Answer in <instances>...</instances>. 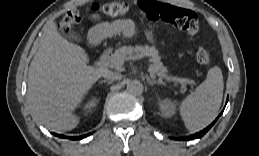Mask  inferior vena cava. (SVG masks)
I'll return each instance as SVG.
<instances>
[{"label": "inferior vena cava", "instance_id": "obj_1", "mask_svg": "<svg viewBox=\"0 0 259 156\" xmlns=\"http://www.w3.org/2000/svg\"><path fill=\"white\" fill-rule=\"evenodd\" d=\"M103 77L109 81H115V80H120L122 78V75L117 72L106 71L103 74Z\"/></svg>", "mask_w": 259, "mask_h": 156}]
</instances>
